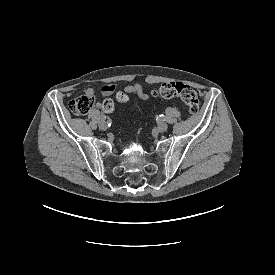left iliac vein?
I'll list each match as a JSON object with an SVG mask.
<instances>
[{"mask_svg": "<svg viewBox=\"0 0 275 275\" xmlns=\"http://www.w3.org/2000/svg\"><path fill=\"white\" fill-rule=\"evenodd\" d=\"M167 128H168V125H167V123H165V122H160V123L158 124V126H157V129H158V131H160V132L166 131Z\"/></svg>", "mask_w": 275, "mask_h": 275, "instance_id": "4c4485c4", "label": "left iliac vein"}]
</instances>
